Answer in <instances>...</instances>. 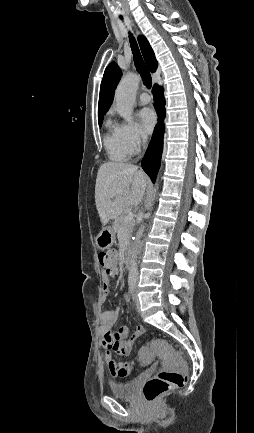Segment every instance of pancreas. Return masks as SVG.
Instances as JSON below:
<instances>
[{
	"instance_id": "pancreas-1",
	"label": "pancreas",
	"mask_w": 254,
	"mask_h": 433,
	"mask_svg": "<svg viewBox=\"0 0 254 433\" xmlns=\"http://www.w3.org/2000/svg\"><path fill=\"white\" fill-rule=\"evenodd\" d=\"M126 213L121 214L118 216L114 223V231L120 232L123 231L125 237L129 240L133 231V228L135 226V221L132 220L131 222H125Z\"/></svg>"
}]
</instances>
